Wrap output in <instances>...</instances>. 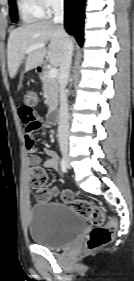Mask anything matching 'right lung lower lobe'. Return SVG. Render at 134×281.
Instances as JSON below:
<instances>
[{"mask_svg": "<svg viewBox=\"0 0 134 281\" xmlns=\"http://www.w3.org/2000/svg\"><path fill=\"white\" fill-rule=\"evenodd\" d=\"M86 0H65V27L69 34H72L82 46L83 43V22L84 7Z\"/></svg>", "mask_w": 134, "mask_h": 281, "instance_id": "1", "label": "right lung lower lobe"}]
</instances>
